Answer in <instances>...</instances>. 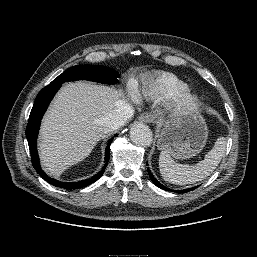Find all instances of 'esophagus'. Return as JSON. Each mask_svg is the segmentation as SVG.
I'll list each match as a JSON object with an SVG mask.
<instances>
[{"label":"esophagus","mask_w":257,"mask_h":257,"mask_svg":"<svg viewBox=\"0 0 257 257\" xmlns=\"http://www.w3.org/2000/svg\"><path fill=\"white\" fill-rule=\"evenodd\" d=\"M139 121L140 122H143V123H150L152 120H153V117L151 114L149 113H142L140 116H139Z\"/></svg>","instance_id":"esophagus-1"}]
</instances>
